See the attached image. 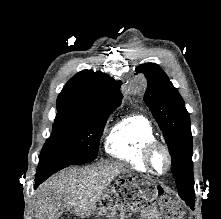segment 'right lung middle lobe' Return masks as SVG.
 Wrapping results in <instances>:
<instances>
[{
	"instance_id": "dd1d6c3e",
	"label": "right lung middle lobe",
	"mask_w": 221,
	"mask_h": 219,
	"mask_svg": "<svg viewBox=\"0 0 221 219\" xmlns=\"http://www.w3.org/2000/svg\"><path fill=\"white\" fill-rule=\"evenodd\" d=\"M110 114L81 117L58 113L53 132L43 146L39 160H58L69 165L93 161L97 157L100 135Z\"/></svg>"
}]
</instances>
